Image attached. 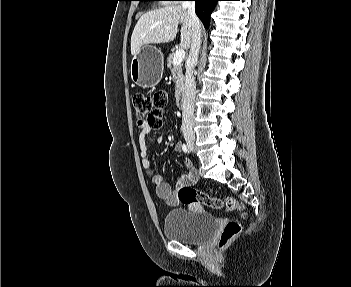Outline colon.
Segmentation results:
<instances>
[{
  "label": "colon",
  "mask_w": 351,
  "mask_h": 287,
  "mask_svg": "<svg viewBox=\"0 0 351 287\" xmlns=\"http://www.w3.org/2000/svg\"><path fill=\"white\" fill-rule=\"evenodd\" d=\"M168 102L165 91H158L153 95L135 93L133 106L138 120H146L152 129H159L163 124V117ZM178 198L184 204L201 203L216 209H242L239 203L232 198L212 197L204 192L197 191L190 186H183L178 191ZM241 232L239 221L231 220L226 223L220 235L218 246L224 248Z\"/></svg>",
  "instance_id": "obj_1"
}]
</instances>
